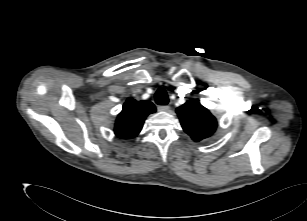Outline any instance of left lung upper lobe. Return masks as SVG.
<instances>
[{
  "mask_svg": "<svg viewBox=\"0 0 307 221\" xmlns=\"http://www.w3.org/2000/svg\"><path fill=\"white\" fill-rule=\"evenodd\" d=\"M176 113L184 131L196 142L210 137L217 128L216 118L196 101H187Z\"/></svg>",
  "mask_w": 307,
  "mask_h": 221,
  "instance_id": "left-lung-upper-lobe-1",
  "label": "left lung upper lobe"
}]
</instances>
